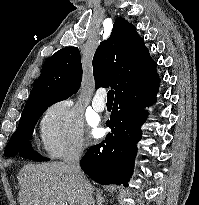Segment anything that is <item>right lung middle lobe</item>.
<instances>
[{
  "label": "right lung middle lobe",
  "mask_w": 199,
  "mask_h": 205,
  "mask_svg": "<svg viewBox=\"0 0 199 205\" xmlns=\"http://www.w3.org/2000/svg\"><path fill=\"white\" fill-rule=\"evenodd\" d=\"M56 102H58V100H35L25 105L18 128L11 136L5 148L4 156L14 157L19 154L20 157L35 161L49 160L48 158L40 156L37 152H34L29 140L32 138L34 126L40 116L49 106Z\"/></svg>",
  "instance_id": "right-lung-middle-lobe-1"
}]
</instances>
